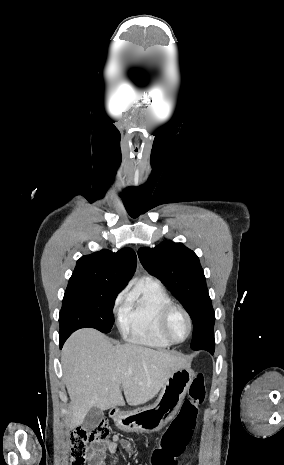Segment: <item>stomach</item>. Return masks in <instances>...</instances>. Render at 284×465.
<instances>
[{"instance_id":"obj_1","label":"stomach","mask_w":284,"mask_h":465,"mask_svg":"<svg viewBox=\"0 0 284 465\" xmlns=\"http://www.w3.org/2000/svg\"><path fill=\"white\" fill-rule=\"evenodd\" d=\"M194 371L190 367L178 369L168 377L154 405L121 411L117 413L114 423L125 433H154L172 421L181 407L183 399L193 381Z\"/></svg>"}]
</instances>
